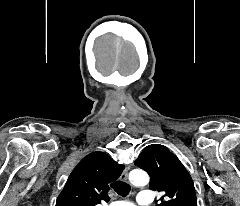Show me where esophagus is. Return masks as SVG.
<instances>
[{
  "label": "esophagus",
  "instance_id": "esophagus-1",
  "mask_svg": "<svg viewBox=\"0 0 240 206\" xmlns=\"http://www.w3.org/2000/svg\"><path fill=\"white\" fill-rule=\"evenodd\" d=\"M120 179L122 181H127V179H128V168L127 167L122 172Z\"/></svg>",
  "mask_w": 240,
  "mask_h": 206
}]
</instances>
